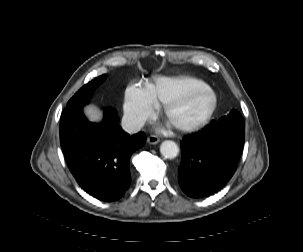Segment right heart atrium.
<instances>
[{
    "label": "right heart atrium",
    "instance_id": "1",
    "mask_svg": "<svg viewBox=\"0 0 303 252\" xmlns=\"http://www.w3.org/2000/svg\"><path fill=\"white\" fill-rule=\"evenodd\" d=\"M155 109V105L148 99L144 90L137 86H132L127 90L123 111L124 121L129 127L142 126L153 116Z\"/></svg>",
    "mask_w": 303,
    "mask_h": 252
}]
</instances>
